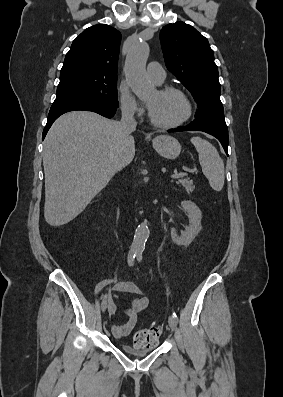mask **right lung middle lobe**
Segmentation results:
<instances>
[{
    "mask_svg": "<svg viewBox=\"0 0 283 397\" xmlns=\"http://www.w3.org/2000/svg\"><path fill=\"white\" fill-rule=\"evenodd\" d=\"M82 100L118 108L117 77L66 72L60 74L54 102Z\"/></svg>",
    "mask_w": 283,
    "mask_h": 397,
    "instance_id": "right-lung-middle-lobe-1",
    "label": "right lung middle lobe"
}]
</instances>
